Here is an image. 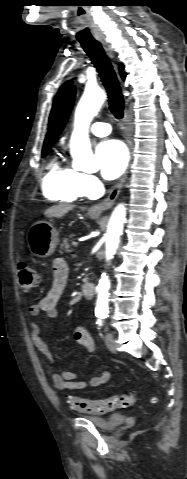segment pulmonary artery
Listing matches in <instances>:
<instances>
[{"label":"pulmonary artery","mask_w":187,"mask_h":479,"mask_svg":"<svg viewBox=\"0 0 187 479\" xmlns=\"http://www.w3.org/2000/svg\"><path fill=\"white\" fill-rule=\"evenodd\" d=\"M90 131L96 136H106L111 132V125L105 122H95L90 127Z\"/></svg>","instance_id":"obj_1"}]
</instances>
